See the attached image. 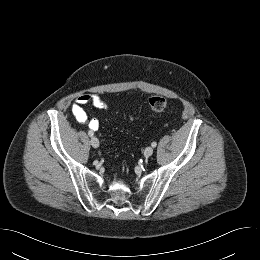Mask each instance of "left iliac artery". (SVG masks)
<instances>
[{
  "label": "left iliac artery",
  "mask_w": 260,
  "mask_h": 260,
  "mask_svg": "<svg viewBox=\"0 0 260 260\" xmlns=\"http://www.w3.org/2000/svg\"><path fill=\"white\" fill-rule=\"evenodd\" d=\"M152 147H156L157 146V143L156 142H152Z\"/></svg>",
  "instance_id": "left-iliac-artery-1"
}]
</instances>
